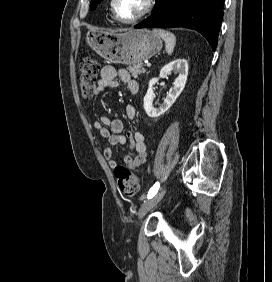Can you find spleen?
Returning a JSON list of instances; mask_svg holds the SVG:
<instances>
[{
  "label": "spleen",
  "mask_w": 272,
  "mask_h": 282,
  "mask_svg": "<svg viewBox=\"0 0 272 282\" xmlns=\"http://www.w3.org/2000/svg\"><path fill=\"white\" fill-rule=\"evenodd\" d=\"M153 33L164 40L166 52L168 55H171L176 45L175 35L163 29H154Z\"/></svg>",
  "instance_id": "1"
}]
</instances>
